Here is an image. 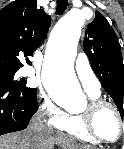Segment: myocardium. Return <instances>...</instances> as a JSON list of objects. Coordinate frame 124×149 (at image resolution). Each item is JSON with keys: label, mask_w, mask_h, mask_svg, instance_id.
<instances>
[{"label": "myocardium", "mask_w": 124, "mask_h": 149, "mask_svg": "<svg viewBox=\"0 0 124 149\" xmlns=\"http://www.w3.org/2000/svg\"><path fill=\"white\" fill-rule=\"evenodd\" d=\"M104 107L112 109L119 124V135L114 140H107L103 138L95 129V116L97 112ZM80 116L86 132L97 142L104 144H114L119 142L122 138H124V118L119 108L114 103L100 98L91 99V101L87 105L86 110H84L80 114Z\"/></svg>", "instance_id": "myocardium-1"}]
</instances>
